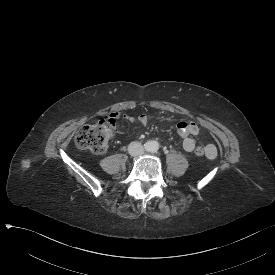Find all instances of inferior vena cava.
<instances>
[{
	"instance_id": "602c4592",
	"label": "inferior vena cava",
	"mask_w": 275,
	"mask_h": 275,
	"mask_svg": "<svg viewBox=\"0 0 275 275\" xmlns=\"http://www.w3.org/2000/svg\"><path fill=\"white\" fill-rule=\"evenodd\" d=\"M128 152L132 156H140L144 153V147L140 142H131L128 146Z\"/></svg>"
}]
</instances>
